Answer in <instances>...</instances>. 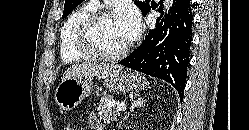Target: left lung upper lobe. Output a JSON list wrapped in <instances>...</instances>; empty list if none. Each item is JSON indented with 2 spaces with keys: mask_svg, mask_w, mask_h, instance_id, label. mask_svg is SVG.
Returning <instances> with one entry per match:
<instances>
[{
  "mask_svg": "<svg viewBox=\"0 0 249 130\" xmlns=\"http://www.w3.org/2000/svg\"><path fill=\"white\" fill-rule=\"evenodd\" d=\"M82 0H65L64 4V11H63V16H67L75 7H77ZM135 4L139 7L141 10L142 14L145 16L149 10H150V5L148 2H140V1H135Z\"/></svg>",
  "mask_w": 249,
  "mask_h": 130,
  "instance_id": "left-lung-upper-lobe-1",
  "label": "left lung upper lobe"
}]
</instances>
